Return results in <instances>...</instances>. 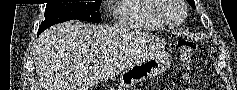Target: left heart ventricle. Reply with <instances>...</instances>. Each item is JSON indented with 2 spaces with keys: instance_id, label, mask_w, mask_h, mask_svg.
I'll use <instances>...</instances> for the list:
<instances>
[{
  "instance_id": "left-heart-ventricle-1",
  "label": "left heart ventricle",
  "mask_w": 237,
  "mask_h": 90,
  "mask_svg": "<svg viewBox=\"0 0 237 90\" xmlns=\"http://www.w3.org/2000/svg\"><path fill=\"white\" fill-rule=\"evenodd\" d=\"M179 19H180V15L179 16H174L173 19H165V20L168 24L174 25L179 21Z\"/></svg>"
}]
</instances>
